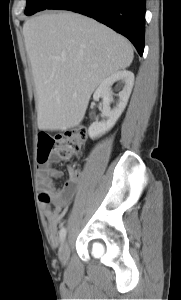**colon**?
<instances>
[{
  "instance_id": "5ec220e1",
  "label": "colon",
  "mask_w": 181,
  "mask_h": 300,
  "mask_svg": "<svg viewBox=\"0 0 181 300\" xmlns=\"http://www.w3.org/2000/svg\"><path fill=\"white\" fill-rule=\"evenodd\" d=\"M86 139L87 131L83 126L72 128L55 137L42 133L38 137L37 160L39 163H44L52 151L61 159H70L81 151ZM71 173L75 177L80 174L75 170H72Z\"/></svg>"
}]
</instances>
